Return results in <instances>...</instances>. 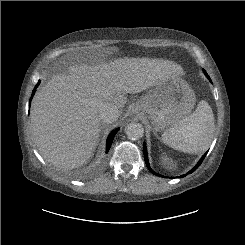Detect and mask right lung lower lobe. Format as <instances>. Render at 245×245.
I'll use <instances>...</instances> for the list:
<instances>
[{
	"mask_svg": "<svg viewBox=\"0 0 245 245\" xmlns=\"http://www.w3.org/2000/svg\"><path fill=\"white\" fill-rule=\"evenodd\" d=\"M40 81L37 83V85L35 86L33 92H32V96L30 98V101L32 100V97L33 95L35 94V89L38 87ZM29 106H30V103H29ZM119 128L115 129L114 131H112L109 136H108V139H107V144H106V153H108L110 147H111V144H112V141L114 139V136L115 134L118 132Z\"/></svg>",
	"mask_w": 245,
	"mask_h": 245,
	"instance_id": "1",
	"label": "right lung lower lobe"
}]
</instances>
